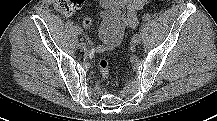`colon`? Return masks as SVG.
Returning a JSON list of instances; mask_svg holds the SVG:
<instances>
[{"label": "colon", "mask_w": 217, "mask_h": 121, "mask_svg": "<svg viewBox=\"0 0 217 121\" xmlns=\"http://www.w3.org/2000/svg\"><path fill=\"white\" fill-rule=\"evenodd\" d=\"M85 0H53L54 8L64 14H71L79 10ZM85 27H89L90 21L86 20L84 22ZM98 69L104 78H109L110 67L109 62L106 58H100L97 62Z\"/></svg>", "instance_id": "1"}]
</instances>
